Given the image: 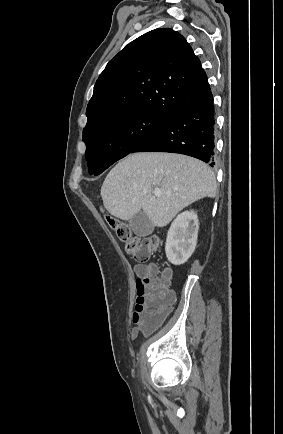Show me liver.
I'll list each match as a JSON object with an SVG mask.
<instances>
[{
	"label": "liver",
	"mask_w": 283,
	"mask_h": 434,
	"mask_svg": "<svg viewBox=\"0 0 283 434\" xmlns=\"http://www.w3.org/2000/svg\"><path fill=\"white\" fill-rule=\"evenodd\" d=\"M161 196L155 197L154 191ZM216 195V177L202 161L186 155L141 152L128 155L106 176L101 196L105 209L122 220L144 212L164 227L193 202Z\"/></svg>",
	"instance_id": "1"
}]
</instances>
